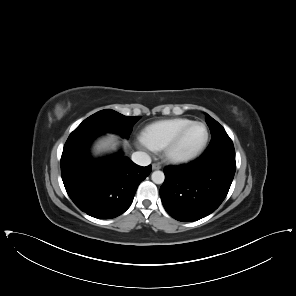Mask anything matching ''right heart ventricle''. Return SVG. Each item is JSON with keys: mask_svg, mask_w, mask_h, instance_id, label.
Masks as SVG:
<instances>
[{"mask_svg": "<svg viewBox=\"0 0 296 296\" xmlns=\"http://www.w3.org/2000/svg\"><path fill=\"white\" fill-rule=\"evenodd\" d=\"M191 121L188 118H173L154 122L144 129L142 138L152 149H163L167 142Z\"/></svg>", "mask_w": 296, "mask_h": 296, "instance_id": "right-heart-ventricle-1", "label": "right heart ventricle"}]
</instances>
